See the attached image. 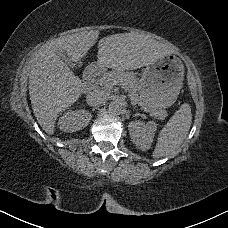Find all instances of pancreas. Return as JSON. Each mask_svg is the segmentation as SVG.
Wrapping results in <instances>:
<instances>
[{
	"label": "pancreas",
	"instance_id": "pancreas-1",
	"mask_svg": "<svg viewBox=\"0 0 228 228\" xmlns=\"http://www.w3.org/2000/svg\"><path fill=\"white\" fill-rule=\"evenodd\" d=\"M100 79L104 82L102 87L107 90H110L113 87L112 81L116 80V85L121 86L125 91L129 92V95L133 101L141 105L142 109H144L146 112H149L151 116L161 120H164L168 116L167 111L164 109H149L144 106V103L140 100L139 95L137 94L140 89L139 80L133 72H126L124 70H111L104 72ZM100 79L97 81V84L100 83ZM108 86H111V88L108 89Z\"/></svg>",
	"mask_w": 228,
	"mask_h": 228
}]
</instances>
